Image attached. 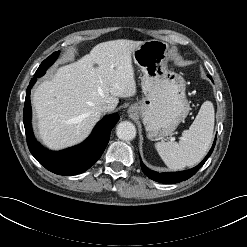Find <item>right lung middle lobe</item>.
<instances>
[{
    "instance_id": "obj_1",
    "label": "right lung middle lobe",
    "mask_w": 247,
    "mask_h": 247,
    "mask_svg": "<svg viewBox=\"0 0 247 247\" xmlns=\"http://www.w3.org/2000/svg\"><path fill=\"white\" fill-rule=\"evenodd\" d=\"M59 54V51L54 52L51 54L47 59H45L39 68L37 69L36 73L34 74L33 78H38L41 77L42 75L45 74V71L55 62Z\"/></svg>"
}]
</instances>
